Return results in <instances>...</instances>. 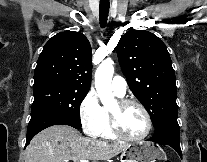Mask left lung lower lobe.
<instances>
[{"instance_id": "obj_1", "label": "left lung lower lobe", "mask_w": 207, "mask_h": 162, "mask_svg": "<svg viewBox=\"0 0 207 162\" xmlns=\"http://www.w3.org/2000/svg\"><path fill=\"white\" fill-rule=\"evenodd\" d=\"M180 128L177 119L167 120L155 128V133L148 141L171 146L182 158L180 148Z\"/></svg>"}]
</instances>
